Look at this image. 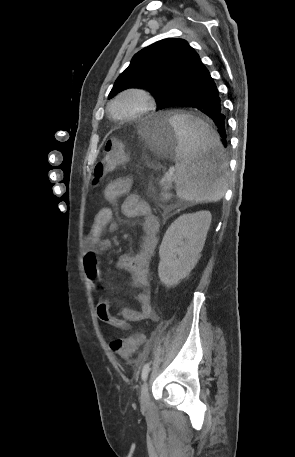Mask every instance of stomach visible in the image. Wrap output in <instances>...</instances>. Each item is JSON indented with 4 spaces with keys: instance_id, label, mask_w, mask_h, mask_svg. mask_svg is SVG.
<instances>
[{
    "instance_id": "1",
    "label": "stomach",
    "mask_w": 295,
    "mask_h": 457,
    "mask_svg": "<svg viewBox=\"0 0 295 457\" xmlns=\"http://www.w3.org/2000/svg\"><path fill=\"white\" fill-rule=\"evenodd\" d=\"M140 133L153 149H161L164 146L175 147L178 144L177 134L170 118L164 115L146 117L141 123Z\"/></svg>"
}]
</instances>
